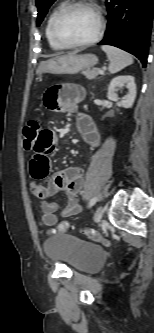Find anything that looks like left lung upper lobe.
Returning a JSON list of instances; mask_svg holds the SVG:
<instances>
[{
	"label": "left lung upper lobe",
	"instance_id": "5c2ea615",
	"mask_svg": "<svg viewBox=\"0 0 154 333\" xmlns=\"http://www.w3.org/2000/svg\"><path fill=\"white\" fill-rule=\"evenodd\" d=\"M55 0H36V6L38 8V18H37V25L39 26L42 22L43 18L45 17L49 7Z\"/></svg>",
	"mask_w": 154,
	"mask_h": 333
}]
</instances>
